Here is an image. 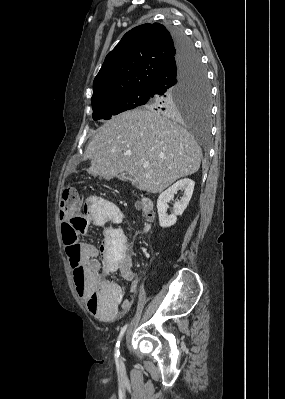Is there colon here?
<instances>
[{"mask_svg":"<svg viewBox=\"0 0 285 399\" xmlns=\"http://www.w3.org/2000/svg\"><path fill=\"white\" fill-rule=\"evenodd\" d=\"M59 210L64 216L60 229L71 264L74 290L78 292L82 289L84 277V268L79 264L80 247L78 242L81 237V228L86 226V221L82 216V204L75 187L70 186L64 189ZM117 228L120 230V244L117 251V259H122L126 256L127 246L120 226L118 225ZM98 305L99 303H97V306Z\"/></svg>","mask_w":285,"mask_h":399,"instance_id":"obj_1","label":"colon"}]
</instances>
